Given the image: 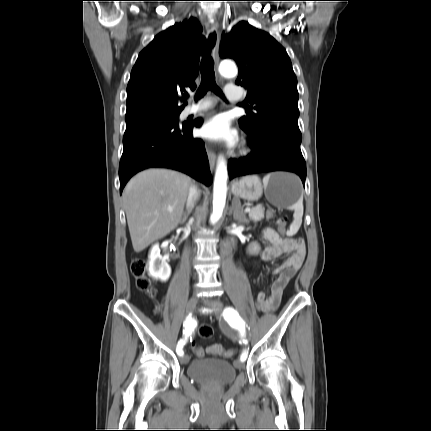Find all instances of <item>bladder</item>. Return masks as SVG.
Wrapping results in <instances>:
<instances>
[{
	"label": "bladder",
	"instance_id": "1",
	"mask_svg": "<svg viewBox=\"0 0 431 431\" xmlns=\"http://www.w3.org/2000/svg\"><path fill=\"white\" fill-rule=\"evenodd\" d=\"M187 375L203 386L224 387L235 381L237 369L226 360L204 358L192 361L187 368Z\"/></svg>",
	"mask_w": 431,
	"mask_h": 431
}]
</instances>
